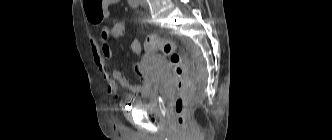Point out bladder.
<instances>
[{
	"label": "bladder",
	"instance_id": "bladder-1",
	"mask_svg": "<svg viewBox=\"0 0 332 140\" xmlns=\"http://www.w3.org/2000/svg\"><path fill=\"white\" fill-rule=\"evenodd\" d=\"M160 93L153 91L146 95L144 100L136 99L132 101L133 106L146 111H156L159 109Z\"/></svg>",
	"mask_w": 332,
	"mask_h": 140
}]
</instances>
